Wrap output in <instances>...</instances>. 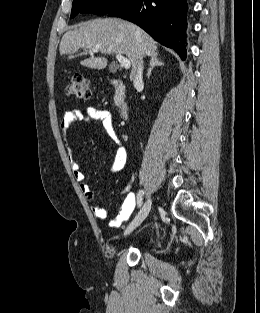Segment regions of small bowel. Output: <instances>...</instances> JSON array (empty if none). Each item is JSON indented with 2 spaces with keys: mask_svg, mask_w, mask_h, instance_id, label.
<instances>
[{
  "mask_svg": "<svg viewBox=\"0 0 260 313\" xmlns=\"http://www.w3.org/2000/svg\"><path fill=\"white\" fill-rule=\"evenodd\" d=\"M79 120H85L92 126L96 127L98 130L100 131L102 130L106 137L113 140L119 146L116 151L113 163L109 168V173L115 174L121 171L124 168L127 161V151L122 146L121 139L115 129L112 114L107 110L98 109L95 107H88L85 109V111H81L79 109L67 111L64 114L60 123V128L64 136V140L67 144L71 126L74 122ZM95 122H99V125H96ZM68 157L73 177L75 181L79 183V189L86 197L92 210V213L99 220L105 219L107 216V210L96 204L93 191L91 190L89 185L84 182L85 175L81 170L79 163L73 159L70 151L68 152ZM129 189L130 184H126L121 189L120 193L125 194ZM136 202L138 203V198L136 199L134 194L132 193L127 194L123 200L119 215L114 220L108 222V227L118 228L124 221H126L130 217L136 205Z\"/></svg>",
  "mask_w": 260,
  "mask_h": 313,
  "instance_id": "1",
  "label": "small bowel"
}]
</instances>
